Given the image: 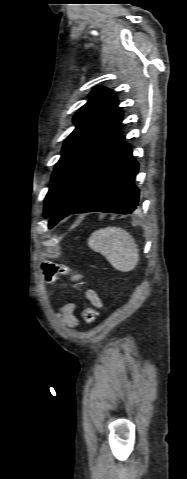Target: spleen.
I'll list each match as a JSON object with an SVG mask.
<instances>
[{
  "label": "spleen",
  "instance_id": "3e777b00",
  "mask_svg": "<svg viewBox=\"0 0 187 479\" xmlns=\"http://www.w3.org/2000/svg\"><path fill=\"white\" fill-rule=\"evenodd\" d=\"M89 247L102 254L118 271L134 270L139 261V250L135 240L120 227L101 228L88 239Z\"/></svg>",
  "mask_w": 187,
  "mask_h": 479
}]
</instances>
